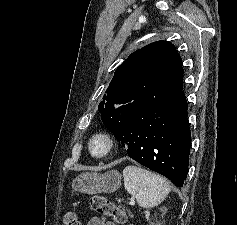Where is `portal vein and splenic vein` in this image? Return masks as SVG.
<instances>
[{
    "instance_id": "1",
    "label": "portal vein and splenic vein",
    "mask_w": 237,
    "mask_h": 225,
    "mask_svg": "<svg viewBox=\"0 0 237 225\" xmlns=\"http://www.w3.org/2000/svg\"><path fill=\"white\" fill-rule=\"evenodd\" d=\"M130 204H131V205H134V204H135V199H134V198H131Z\"/></svg>"
}]
</instances>
